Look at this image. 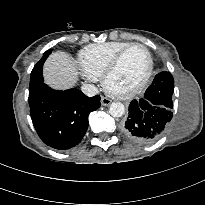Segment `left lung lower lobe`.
<instances>
[{
    "instance_id": "0a47b994",
    "label": "left lung lower lobe",
    "mask_w": 205,
    "mask_h": 205,
    "mask_svg": "<svg viewBox=\"0 0 205 205\" xmlns=\"http://www.w3.org/2000/svg\"><path fill=\"white\" fill-rule=\"evenodd\" d=\"M169 98L164 89L154 87L143 98L131 101L129 115L122 125L124 135L139 144H149L159 139L173 115V103Z\"/></svg>"
}]
</instances>
